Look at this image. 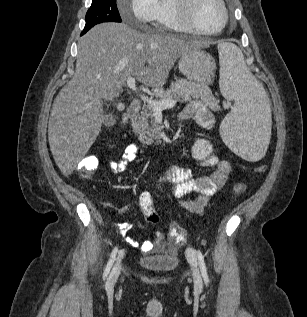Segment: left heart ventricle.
<instances>
[{
    "label": "left heart ventricle",
    "instance_id": "1",
    "mask_svg": "<svg viewBox=\"0 0 307 317\" xmlns=\"http://www.w3.org/2000/svg\"><path fill=\"white\" fill-rule=\"evenodd\" d=\"M193 19L201 30L213 31L222 23V9L217 0H197L193 9Z\"/></svg>",
    "mask_w": 307,
    "mask_h": 317
}]
</instances>
